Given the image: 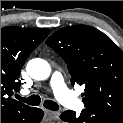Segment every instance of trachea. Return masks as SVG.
Returning <instances> with one entry per match:
<instances>
[{
  "mask_svg": "<svg viewBox=\"0 0 123 123\" xmlns=\"http://www.w3.org/2000/svg\"><path fill=\"white\" fill-rule=\"evenodd\" d=\"M16 98L32 106H38L41 102L39 95H32V96H29L28 98L17 95ZM43 105L45 108L49 110H53V111H57L59 109V105L56 102L51 101V100H45Z\"/></svg>",
  "mask_w": 123,
  "mask_h": 123,
  "instance_id": "3493384b",
  "label": "trachea"
}]
</instances>
